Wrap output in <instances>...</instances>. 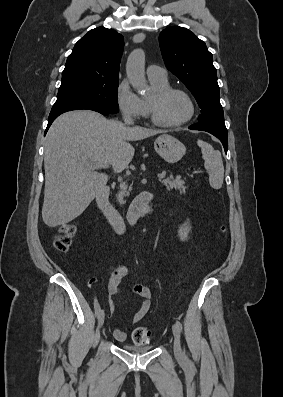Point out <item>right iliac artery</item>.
<instances>
[{"mask_svg": "<svg viewBox=\"0 0 283 397\" xmlns=\"http://www.w3.org/2000/svg\"><path fill=\"white\" fill-rule=\"evenodd\" d=\"M93 302L95 303V314H96L97 317H99V315L102 312V310H101V308H100V306L98 304V299L94 298Z\"/></svg>", "mask_w": 283, "mask_h": 397, "instance_id": "right-iliac-artery-1", "label": "right iliac artery"}]
</instances>
